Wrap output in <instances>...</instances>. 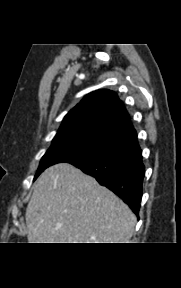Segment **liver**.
<instances>
[{
    "label": "liver",
    "mask_w": 181,
    "mask_h": 288,
    "mask_svg": "<svg viewBox=\"0 0 181 288\" xmlns=\"http://www.w3.org/2000/svg\"><path fill=\"white\" fill-rule=\"evenodd\" d=\"M25 218L29 243H126L136 224L121 199L68 163L39 176Z\"/></svg>",
    "instance_id": "liver-1"
}]
</instances>
